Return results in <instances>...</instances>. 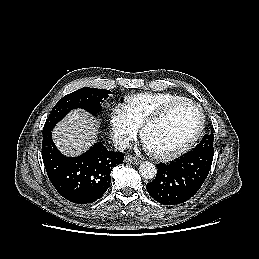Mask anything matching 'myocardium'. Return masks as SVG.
<instances>
[{
    "label": "myocardium",
    "mask_w": 259,
    "mask_h": 259,
    "mask_svg": "<svg viewBox=\"0 0 259 259\" xmlns=\"http://www.w3.org/2000/svg\"><path fill=\"white\" fill-rule=\"evenodd\" d=\"M182 105L194 106L199 111L200 121H199L198 127L196 128L195 132L192 134V136L187 141H185L180 146H178L172 150L165 151V152H156V151L150 150V153L157 159L172 160V159L179 157L183 153L187 152L190 148H192L193 145L197 142V140L199 139V137L202 134V131L205 126V113H204L203 108L197 102H195L193 100L182 99V100L171 102V103L163 106L156 113H154L152 116H150L148 119H146L144 121V123L141 126V130H140V136H141L142 140H144L145 133L150 126L159 122L167 114H169L173 109H175L179 106H182Z\"/></svg>",
    "instance_id": "myocardium-1"
}]
</instances>
